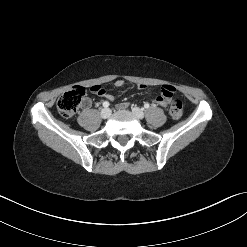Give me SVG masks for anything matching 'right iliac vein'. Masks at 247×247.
<instances>
[{"mask_svg":"<svg viewBox=\"0 0 247 247\" xmlns=\"http://www.w3.org/2000/svg\"><path fill=\"white\" fill-rule=\"evenodd\" d=\"M100 115H101L102 118L107 119V118L110 117L111 111L108 108H104V109L101 110Z\"/></svg>","mask_w":247,"mask_h":247,"instance_id":"1","label":"right iliac vein"}]
</instances>
